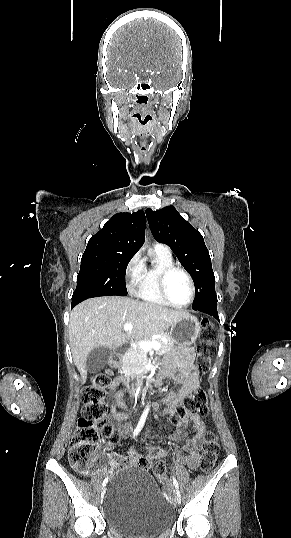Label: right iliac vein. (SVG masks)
Masks as SVG:
<instances>
[{
  "mask_svg": "<svg viewBox=\"0 0 291 538\" xmlns=\"http://www.w3.org/2000/svg\"><path fill=\"white\" fill-rule=\"evenodd\" d=\"M104 494H105V489H104V490L102 491V493H101V499H103Z\"/></svg>",
  "mask_w": 291,
  "mask_h": 538,
  "instance_id": "right-iliac-vein-1",
  "label": "right iliac vein"
}]
</instances>
